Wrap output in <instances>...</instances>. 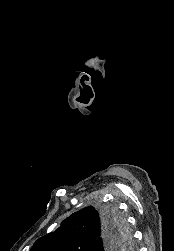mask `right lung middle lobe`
<instances>
[{"instance_id": "dd1d6c3e", "label": "right lung middle lobe", "mask_w": 174, "mask_h": 251, "mask_svg": "<svg viewBox=\"0 0 174 251\" xmlns=\"http://www.w3.org/2000/svg\"><path fill=\"white\" fill-rule=\"evenodd\" d=\"M101 213L106 218V220L117 226L120 234L124 237L121 250H130V248L132 247L130 232L127 228L124 217L119 213L117 208L112 206H105L102 208Z\"/></svg>"}]
</instances>
